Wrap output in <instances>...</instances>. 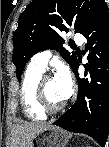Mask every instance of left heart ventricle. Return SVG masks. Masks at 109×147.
Wrapping results in <instances>:
<instances>
[{
	"mask_svg": "<svg viewBox=\"0 0 109 147\" xmlns=\"http://www.w3.org/2000/svg\"><path fill=\"white\" fill-rule=\"evenodd\" d=\"M45 93L52 105H58L64 100L60 94L58 84L53 78L45 83Z\"/></svg>",
	"mask_w": 109,
	"mask_h": 147,
	"instance_id": "obj_1",
	"label": "left heart ventricle"
}]
</instances>
